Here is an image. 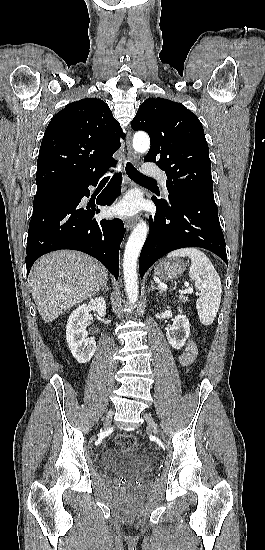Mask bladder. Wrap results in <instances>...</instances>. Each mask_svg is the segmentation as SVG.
<instances>
[{
	"instance_id": "bladder-1",
	"label": "bladder",
	"mask_w": 265,
	"mask_h": 550,
	"mask_svg": "<svg viewBox=\"0 0 265 550\" xmlns=\"http://www.w3.org/2000/svg\"><path fill=\"white\" fill-rule=\"evenodd\" d=\"M100 465L108 473L141 475L149 470L151 458L146 452L121 448L110 449L102 456Z\"/></svg>"
}]
</instances>
